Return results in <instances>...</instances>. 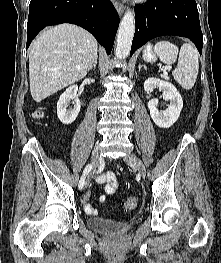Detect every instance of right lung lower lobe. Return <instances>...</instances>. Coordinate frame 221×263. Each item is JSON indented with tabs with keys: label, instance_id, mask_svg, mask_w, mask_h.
I'll return each mask as SVG.
<instances>
[{
	"label": "right lung lower lobe",
	"instance_id": "right-lung-lower-lobe-1",
	"mask_svg": "<svg viewBox=\"0 0 221 263\" xmlns=\"http://www.w3.org/2000/svg\"><path fill=\"white\" fill-rule=\"evenodd\" d=\"M72 23L89 31L110 54L119 16L110 0H31L27 44L46 26Z\"/></svg>",
	"mask_w": 221,
	"mask_h": 263
}]
</instances>
